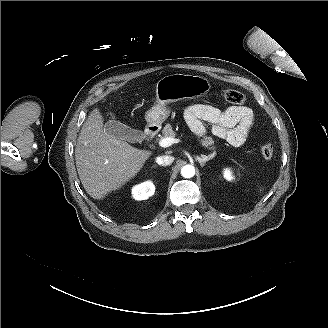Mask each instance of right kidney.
Here are the masks:
<instances>
[{
	"mask_svg": "<svg viewBox=\"0 0 328 328\" xmlns=\"http://www.w3.org/2000/svg\"><path fill=\"white\" fill-rule=\"evenodd\" d=\"M155 192V186L151 180H147L132 187L131 194L135 200H146Z\"/></svg>",
	"mask_w": 328,
	"mask_h": 328,
	"instance_id": "obj_1",
	"label": "right kidney"
}]
</instances>
